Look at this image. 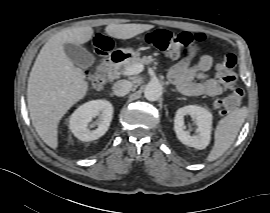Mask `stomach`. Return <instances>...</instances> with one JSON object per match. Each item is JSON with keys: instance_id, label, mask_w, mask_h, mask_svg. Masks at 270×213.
Returning a JSON list of instances; mask_svg holds the SVG:
<instances>
[{"instance_id": "obj_1", "label": "stomach", "mask_w": 270, "mask_h": 213, "mask_svg": "<svg viewBox=\"0 0 270 213\" xmlns=\"http://www.w3.org/2000/svg\"><path fill=\"white\" fill-rule=\"evenodd\" d=\"M120 52L125 56V58H132L140 55L139 51L133 49H121Z\"/></svg>"}]
</instances>
